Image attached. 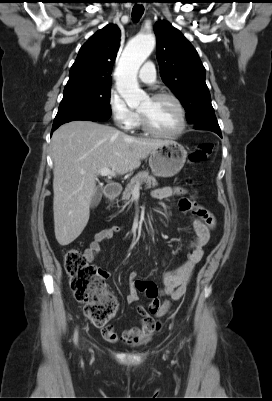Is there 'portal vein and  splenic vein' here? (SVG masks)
Here are the masks:
<instances>
[{
  "label": "portal vein and splenic vein",
  "instance_id": "18ae733b",
  "mask_svg": "<svg viewBox=\"0 0 272 401\" xmlns=\"http://www.w3.org/2000/svg\"><path fill=\"white\" fill-rule=\"evenodd\" d=\"M98 174H100L101 176H107V177H115L116 176V173L107 167L100 169L98 171ZM136 188H139V186H137Z\"/></svg>",
  "mask_w": 272,
  "mask_h": 401
}]
</instances>
